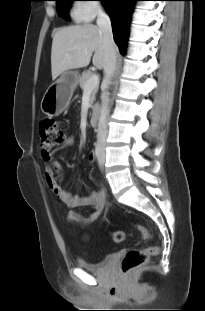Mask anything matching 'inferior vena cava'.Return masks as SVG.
Returning a JSON list of instances; mask_svg holds the SVG:
<instances>
[{
  "instance_id": "1",
  "label": "inferior vena cava",
  "mask_w": 205,
  "mask_h": 311,
  "mask_svg": "<svg viewBox=\"0 0 205 311\" xmlns=\"http://www.w3.org/2000/svg\"><path fill=\"white\" fill-rule=\"evenodd\" d=\"M97 25L103 33V43L105 47L104 79L102 83L101 107L97 129V142L104 151V145L108 134L107 118L109 115V94L107 88L111 84V79L116 71L117 47L113 39L110 17L104 10L98 11Z\"/></svg>"
}]
</instances>
